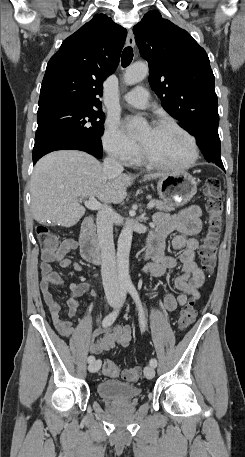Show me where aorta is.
I'll list each match as a JSON object with an SVG mask.
<instances>
[{
  "instance_id": "762f6f07",
  "label": "aorta",
  "mask_w": 245,
  "mask_h": 457,
  "mask_svg": "<svg viewBox=\"0 0 245 457\" xmlns=\"http://www.w3.org/2000/svg\"><path fill=\"white\" fill-rule=\"evenodd\" d=\"M148 66L145 63H135L131 65L124 75V81L127 85H134L142 81L148 74ZM135 127H142L145 122L142 119L133 121ZM133 231L130 222L123 227L117 244V271L118 280L121 286L131 285L129 274V254L131 249Z\"/></svg>"
}]
</instances>
